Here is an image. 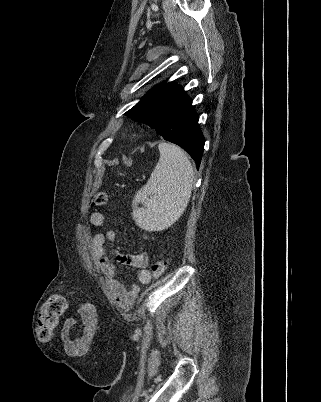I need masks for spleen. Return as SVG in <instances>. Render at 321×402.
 I'll use <instances>...</instances> for the list:
<instances>
[{
    "instance_id": "obj_1",
    "label": "spleen",
    "mask_w": 321,
    "mask_h": 402,
    "mask_svg": "<svg viewBox=\"0 0 321 402\" xmlns=\"http://www.w3.org/2000/svg\"><path fill=\"white\" fill-rule=\"evenodd\" d=\"M160 158L147 184L135 195L132 217L147 231H159L174 223L184 212L193 188V167L176 145H158ZM141 203L144 207L138 208Z\"/></svg>"
}]
</instances>
